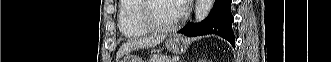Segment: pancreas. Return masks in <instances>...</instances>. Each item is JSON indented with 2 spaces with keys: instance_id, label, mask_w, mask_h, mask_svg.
<instances>
[{
  "instance_id": "obj_1",
  "label": "pancreas",
  "mask_w": 331,
  "mask_h": 62,
  "mask_svg": "<svg viewBox=\"0 0 331 62\" xmlns=\"http://www.w3.org/2000/svg\"><path fill=\"white\" fill-rule=\"evenodd\" d=\"M150 62H171V58L169 56L155 54Z\"/></svg>"
}]
</instances>
